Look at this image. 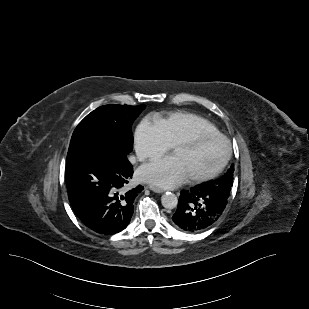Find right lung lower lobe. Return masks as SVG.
I'll return each instance as SVG.
<instances>
[{
	"instance_id": "1",
	"label": "right lung lower lobe",
	"mask_w": 309,
	"mask_h": 309,
	"mask_svg": "<svg viewBox=\"0 0 309 309\" xmlns=\"http://www.w3.org/2000/svg\"><path fill=\"white\" fill-rule=\"evenodd\" d=\"M133 167L127 154L109 140L87 138L69 146L65 180L70 204L91 230L113 235L129 224L136 196L144 189H128Z\"/></svg>"
}]
</instances>
